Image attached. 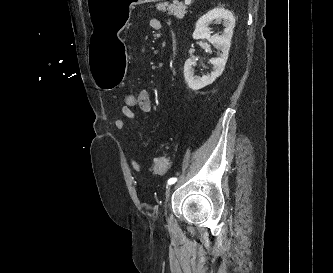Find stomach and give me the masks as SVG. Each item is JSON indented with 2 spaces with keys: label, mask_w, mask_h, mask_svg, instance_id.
Instances as JSON below:
<instances>
[{
  "label": "stomach",
  "mask_w": 333,
  "mask_h": 273,
  "mask_svg": "<svg viewBox=\"0 0 333 273\" xmlns=\"http://www.w3.org/2000/svg\"><path fill=\"white\" fill-rule=\"evenodd\" d=\"M160 0H87L94 23L92 39L87 45L92 56L91 73L97 87L112 90L125 80L129 59L120 32L127 28L132 7Z\"/></svg>",
  "instance_id": "1"
}]
</instances>
